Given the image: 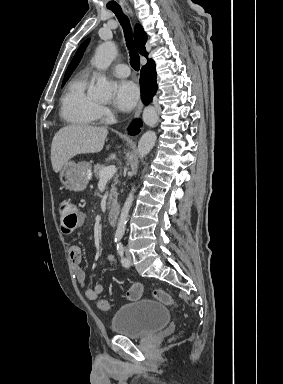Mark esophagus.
Returning a JSON list of instances; mask_svg holds the SVG:
<instances>
[{
  "label": "esophagus",
  "mask_w": 283,
  "mask_h": 384,
  "mask_svg": "<svg viewBox=\"0 0 283 384\" xmlns=\"http://www.w3.org/2000/svg\"><path fill=\"white\" fill-rule=\"evenodd\" d=\"M129 12L132 14V11H131L130 8H129ZM142 107H143L142 102H139L138 105H137V108H136V110L134 112V117H138L140 115V113L142 111Z\"/></svg>",
  "instance_id": "obj_1"
}]
</instances>
